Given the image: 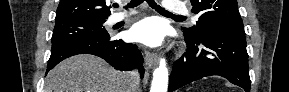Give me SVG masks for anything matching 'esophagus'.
<instances>
[{
    "instance_id": "1",
    "label": "esophagus",
    "mask_w": 289,
    "mask_h": 92,
    "mask_svg": "<svg viewBox=\"0 0 289 92\" xmlns=\"http://www.w3.org/2000/svg\"><path fill=\"white\" fill-rule=\"evenodd\" d=\"M144 59H145V65L147 66V68H151L158 62L156 53L150 52L148 50H145Z\"/></svg>"
}]
</instances>
